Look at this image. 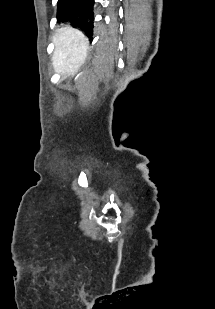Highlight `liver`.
<instances>
[{
	"instance_id": "liver-1",
	"label": "liver",
	"mask_w": 215,
	"mask_h": 309,
	"mask_svg": "<svg viewBox=\"0 0 215 309\" xmlns=\"http://www.w3.org/2000/svg\"><path fill=\"white\" fill-rule=\"evenodd\" d=\"M53 40L55 42L53 54L55 70L73 76L86 60L89 48L88 38L78 28L66 26V28H58Z\"/></svg>"
}]
</instances>
